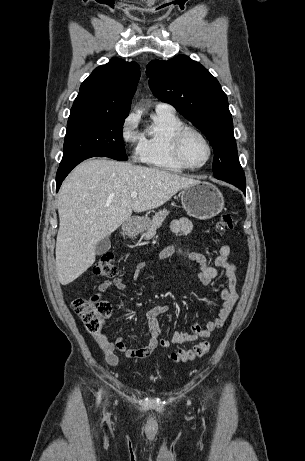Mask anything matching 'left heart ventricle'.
Instances as JSON below:
<instances>
[{
  "label": "left heart ventricle",
  "mask_w": 305,
  "mask_h": 461,
  "mask_svg": "<svg viewBox=\"0 0 305 461\" xmlns=\"http://www.w3.org/2000/svg\"><path fill=\"white\" fill-rule=\"evenodd\" d=\"M182 151L186 161L193 166L202 164L208 155L204 142L195 134H188L184 138Z\"/></svg>",
  "instance_id": "1"
}]
</instances>
